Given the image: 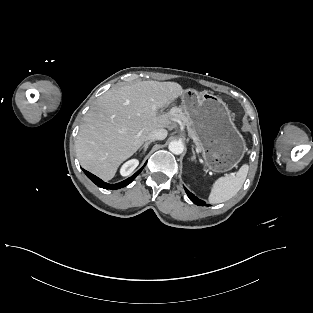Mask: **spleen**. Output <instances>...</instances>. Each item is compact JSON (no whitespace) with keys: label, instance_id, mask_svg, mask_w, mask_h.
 <instances>
[{"label":"spleen","instance_id":"obj_1","mask_svg":"<svg viewBox=\"0 0 313 313\" xmlns=\"http://www.w3.org/2000/svg\"><path fill=\"white\" fill-rule=\"evenodd\" d=\"M249 166L244 164L236 173V176H224L218 178L212 185L209 194L210 204L226 202L234 197L243 186L247 177Z\"/></svg>","mask_w":313,"mask_h":313}]
</instances>
